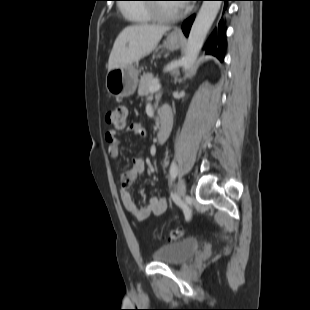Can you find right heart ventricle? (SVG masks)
I'll list each match as a JSON object with an SVG mask.
<instances>
[{"instance_id": "e07e8e85", "label": "right heart ventricle", "mask_w": 310, "mask_h": 310, "mask_svg": "<svg viewBox=\"0 0 310 310\" xmlns=\"http://www.w3.org/2000/svg\"><path fill=\"white\" fill-rule=\"evenodd\" d=\"M122 11L129 20L137 24L153 21V15L147 6H124Z\"/></svg>"}]
</instances>
